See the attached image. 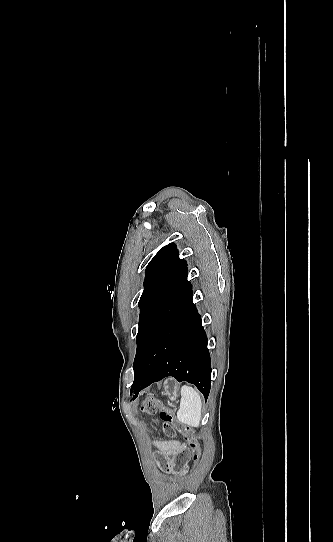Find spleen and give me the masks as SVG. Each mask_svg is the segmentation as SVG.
<instances>
[{"mask_svg": "<svg viewBox=\"0 0 333 542\" xmlns=\"http://www.w3.org/2000/svg\"><path fill=\"white\" fill-rule=\"evenodd\" d=\"M180 408L177 420L190 428H199L202 418V400L200 394L191 386H182L180 390Z\"/></svg>", "mask_w": 333, "mask_h": 542, "instance_id": "3e777b00", "label": "spleen"}]
</instances>
